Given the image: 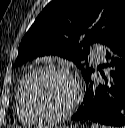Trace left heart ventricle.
Returning a JSON list of instances; mask_svg holds the SVG:
<instances>
[{
  "mask_svg": "<svg viewBox=\"0 0 125 128\" xmlns=\"http://www.w3.org/2000/svg\"><path fill=\"white\" fill-rule=\"evenodd\" d=\"M29 95L38 110L59 113L73 102L75 88L68 77L59 73L45 72L33 79Z\"/></svg>",
  "mask_w": 125,
  "mask_h": 128,
  "instance_id": "1",
  "label": "left heart ventricle"
}]
</instances>
